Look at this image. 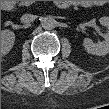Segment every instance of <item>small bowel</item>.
Segmentation results:
<instances>
[{
	"label": "small bowel",
	"instance_id": "small-bowel-1",
	"mask_svg": "<svg viewBox=\"0 0 109 109\" xmlns=\"http://www.w3.org/2000/svg\"><path fill=\"white\" fill-rule=\"evenodd\" d=\"M78 4L80 6H94V5H98L99 2L98 1H81Z\"/></svg>",
	"mask_w": 109,
	"mask_h": 109
}]
</instances>
